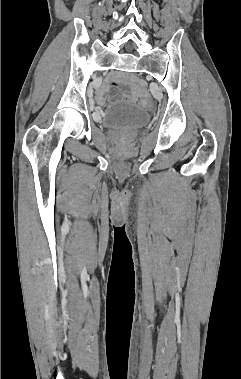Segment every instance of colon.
<instances>
[{
    "instance_id": "5ec220e1",
    "label": "colon",
    "mask_w": 241,
    "mask_h": 379,
    "mask_svg": "<svg viewBox=\"0 0 241 379\" xmlns=\"http://www.w3.org/2000/svg\"><path fill=\"white\" fill-rule=\"evenodd\" d=\"M141 104L144 106V107H149L150 106V93L149 91L145 90L143 91V93L141 94Z\"/></svg>"
}]
</instances>
